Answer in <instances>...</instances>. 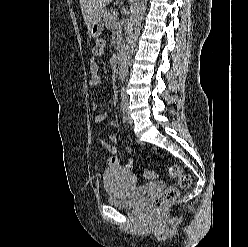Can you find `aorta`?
I'll list each match as a JSON object with an SVG mask.
<instances>
[{
	"label": "aorta",
	"instance_id": "762f6f07",
	"mask_svg": "<svg viewBox=\"0 0 248 247\" xmlns=\"http://www.w3.org/2000/svg\"><path fill=\"white\" fill-rule=\"evenodd\" d=\"M147 0H133L131 8V19L126 38L125 52L120 66V80L124 82L127 78L130 59L132 57L139 29L142 23Z\"/></svg>",
	"mask_w": 248,
	"mask_h": 247
}]
</instances>
